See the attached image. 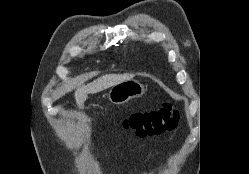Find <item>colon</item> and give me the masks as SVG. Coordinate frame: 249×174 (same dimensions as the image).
<instances>
[{
	"label": "colon",
	"mask_w": 249,
	"mask_h": 174,
	"mask_svg": "<svg viewBox=\"0 0 249 174\" xmlns=\"http://www.w3.org/2000/svg\"><path fill=\"white\" fill-rule=\"evenodd\" d=\"M178 111L169 103L158 110L139 112L122 120L126 129L135 131L138 136L158 135L177 125Z\"/></svg>",
	"instance_id": "1"
}]
</instances>
